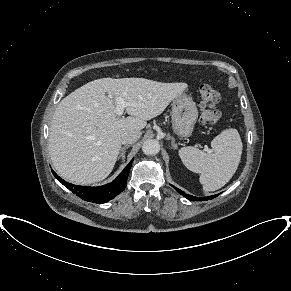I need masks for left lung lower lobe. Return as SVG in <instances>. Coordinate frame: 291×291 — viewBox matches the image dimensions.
I'll return each instance as SVG.
<instances>
[{"mask_svg": "<svg viewBox=\"0 0 291 291\" xmlns=\"http://www.w3.org/2000/svg\"><path fill=\"white\" fill-rule=\"evenodd\" d=\"M174 187V186H173ZM181 195L185 196L187 199L189 200H193V201H207L208 199H213L215 198L217 195H214V196H208V197H200V198H197V197H193L192 195H187L185 192H183L182 190L174 187Z\"/></svg>", "mask_w": 291, "mask_h": 291, "instance_id": "left-lung-lower-lobe-1", "label": "left lung lower lobe"}]
</instances>
